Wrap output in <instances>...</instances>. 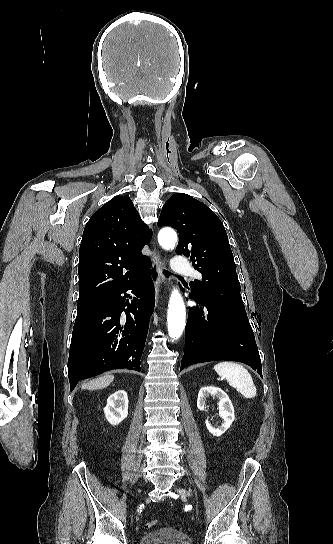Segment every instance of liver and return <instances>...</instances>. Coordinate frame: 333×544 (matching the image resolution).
Wrapping results in <instances>:
<instances>
[{
    "label": "liver",
    "instance_id": "liver-1",
    "mask_svg": "<svg viewBox=\"0 0 333 544\" xmlns=\"http://www.w3.org/2000/svg\"><path fill=\"white\" fill-rule=\"evenodd\" d=\"M113 380H114L113 375L102 376L86 383L83 386V389H89V390L102 389L109 386L111 382H113Z\"/></svg>",
    "mask_w": 333,
    "mask_h": 544
}]
</instances>
